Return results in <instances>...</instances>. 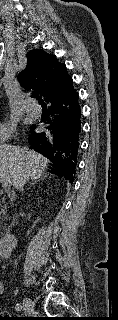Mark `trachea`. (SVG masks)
<instances>
[{"mask_svg": "<svg viewBox=\"0 0 118 320\" xmlns=\"http://www.w3.org/2000/svg\"><path fill=\"white\" fill-rule=\"evenodd\" d=\"M39 104H41L42 107H47V105L44 103L42 99H39Z\"/></svg>", "mask_w": 118, "mask_h": 320, "instance_id": "trachea-1", "label": "trachea"}]
</instances>
